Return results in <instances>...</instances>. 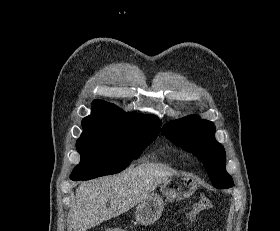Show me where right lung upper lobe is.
Returning a JSON list of instances; mask_svg holds the SVG:
<instances>
[{
    "label": "right lung upper lobe",
    "instance_id": "1",
    "mask_svg": "<svg viewBox=\"0 0 280 231\" xmlns=\"http://www.w3.org/2000/svg\"><path fill=\"white\" fill-rule=\"evenodd\" d=\"M92 114L83 120L109 118L122 120L128 123L160 129V120L155 116L138 115L136 113H125L116 106L102 100L93 102Z\"/></svg>",
    "mask_w": 280,
    "mask_h": 231
}]
</instances>
